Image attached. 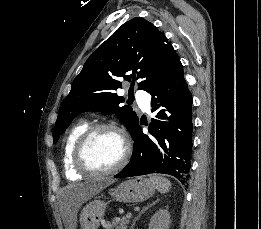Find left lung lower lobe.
I'll use <instances>...</instances> for the list:
<instances>
[{
    "label": "left lung lower lobe",
    "mask_w": 261,
    "mask_h": 229,
    "mask_svg": "<svg viewBox=\"0 0 261 229\" xmlns=\"http://www.w3.org/2000/svg\"><path fill=\"white\" fill-rule=\"evenodd\" d=\"M156 111L145 135L138 125L130 163L115 178L164 173L179 180L187 178L192 153V103L181 62L165 74L149 91Z\"/></svg>",
    "instance_id": "left-lung-lower-lobe-1"
}]
</instances>
